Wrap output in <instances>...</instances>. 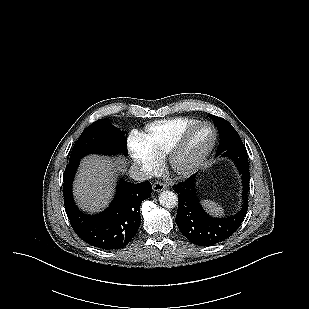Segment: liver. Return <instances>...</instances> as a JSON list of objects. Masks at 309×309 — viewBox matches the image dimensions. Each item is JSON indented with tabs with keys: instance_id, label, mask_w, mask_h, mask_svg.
I'll use <instances>...</instances> for the list:
<instances>
[{
	"instance_id": "1",
	"label": "liver",
	"mask_w": 309,
	"mask_h": 309,
	"mask_svg": "<svg viewBox=\"0 0 309 309\" xmlns=\"http://www.w3.org/2000/svg\"><path fill=\"white\" fill-rule=\"evenodd\" d=\"M123 161L90 155L83 159L74 184V195L79 206L96 212L106 206L112 197L115 181L114 167L122 170Z\"/></svg>"
}]
</instances>
